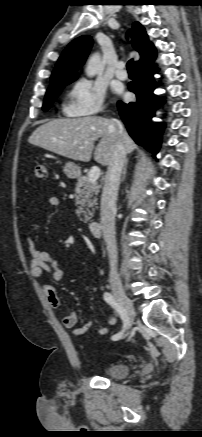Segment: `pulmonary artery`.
Returning a JSON list of instances; mask_svg holds the SVG:
<instances>
[{
  "mask_svg": "<svg viewBox=\"0 0 202 437\" xmlns=\"http://www.w3.org/2000/svg\"><path fill=\"white\" fill-rule=\"evenodd\" d=\"M124 68H125V64L123 62H119L117 64V69L115 71V75L120 80L127 79L128 75H127V72H126V70Z\"/></svg>",
  "mask_w": 202,
  "mask_h": 437,
  "instance_id": "1",
  "label": "pulmonary artery"
}]
</instances>
